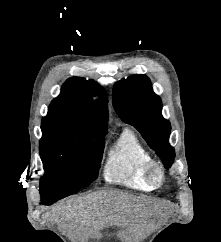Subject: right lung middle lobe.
<instances>
[{"label":"right lung middle lobe","mask_w":221,"mask_h":242,"mask_svg":"<svg viewBox=\"0 0 221 242\" xmlns=\"http://www.w3.org/2000/svg\"><path fill=\"white\" fill-rule=\"evenodd\" d=\"M105 138L71 129H42L39 152L45 174L40 189L79 190L98 176Z\"/></svg>","instance_id":"dd1d6c3e"}]
</instances>
